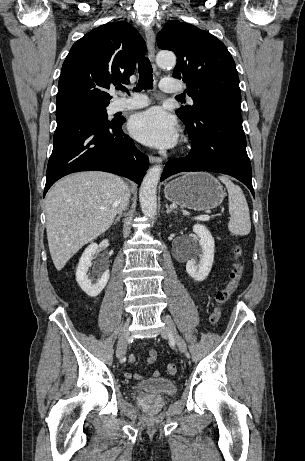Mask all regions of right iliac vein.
<instances>
[{"label": "right iliac vein", "mask_w": 305, "mask_h": 461, "mask_svg": "<svg viewBox=\"0 0 305 461\" xmlns=\"http://www.w3.org/2000/svg\"><path fill=\"white\" fill-rule=\"evenodd\" d=\"M128 339L129 321H126L119 331V346L117 349V357L120 361H123L125 359Z\"/></svg>", "instance_id": "63e3f726"}]
</instances>
